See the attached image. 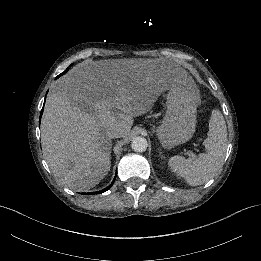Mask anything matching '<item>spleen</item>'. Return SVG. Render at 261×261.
I'll return each mask as SVG.
<instances>
[{"label":"spleen","instance_id":"3e777b00","mask_svg":"<svg viewBox=\"0 0 261 261\" xmlns=\"http://www.w3.org/2000/svg\"><path fill=\"white\" fill-rule=\"evenodd\" d=\"M205 146L207 153L184 158L174 156L169 168L188 185L197 186L210 180L222 167L227 149V128L222 114L212 112Z\"/></svg>","mask_w":261,"mask_h":261}]
</instances>
